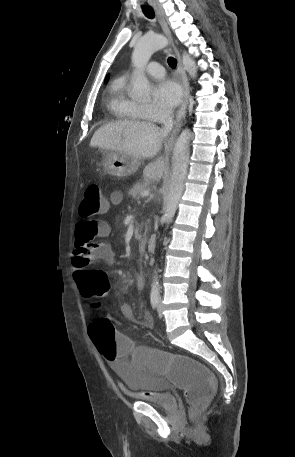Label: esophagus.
<instances>
[{
    "label": "esophagus",
    "instance_id": "1",
    "mask_svg": "<svg viewBox=\"0 0 295 457\" xmlns=\"http://www.w3.org/2000/svg\"><path fill=\"white\" fill-rule=\"evenodd\" d=\"M154 9L156 11V14H157V17H158V20L163 28V31L164 33L167 35V37L170 39V41L172 42V37H171V32L169 30V27L165 21V18L162 14V12L156 7L154 6ZM174 51H175V55H176V58H177V71L180 75V78H181V81H182V87H183V100H182V104L177 112V115H176V119H175V127H174V130H173V134L171 135V137L168 139L167 143H166V149L169 150L172 146V143L174 141V134L178 131V129L180 128V125L185 117V114H186V109H187V105H188V99H189V82H188V79H187V76H186V73L183 69V66H182V63H181V59H180V55H179V52L177 51V49L174 47Z\"/></svg>",
    "mask_w": 295,
    "mask_h": 457
}]
</instances>
